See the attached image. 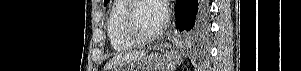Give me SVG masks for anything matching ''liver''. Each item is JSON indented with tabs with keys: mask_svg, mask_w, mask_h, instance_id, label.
Wrapping results in <instances>:
<instances>
[{
	"mask_svg": "<svg viewBox=\"0 0 301 71\" xmlns=\"http://www.w3.org/2000/svg\"><path fill=\"white\" fill-rule=\"evenodd\" d=\"M146 51H136V52H129V53H124V54H119L115 57H113L111 60H109L105 67L104 71H108L114 66H118L124 63L132 62V61H137L144 57L146 55Z\"/></svg>",
	"mask_w": 301,
	"mask_h": 71,
	"instance_id": "obj_1",
	"label": "liver"
}]
</instances>
